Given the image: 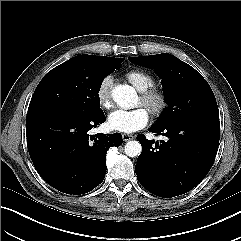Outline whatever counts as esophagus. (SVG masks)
Listing matches in <instances>:
<instances>
[{"mask_svg":"<svg viewBox=\"0 0 241 241\" xmlns=\"http://www.w3.org/2000/svg\"><path fill=\"white\" fill-rule=\"evenodd\" d=\"M122 139L123 141L127 142L129 140H133L134 139V136L133 135H130V134H123L122 135Z\"/></svg>","mask_w":241,"mask_h":241,"instance_id":"34e87169","label":"esophagus"}]
</instances>
